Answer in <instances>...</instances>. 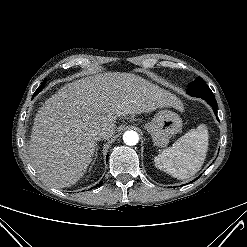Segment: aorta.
<instances>
[{
  "instance_id": "obj_1",
  "label": "aorta",
  "mask_w": 247,
  "mask_h": 247,
  "mask_svg": "<svg viewBox=\"0 0 247 247\" xmlns=\"http://www.w3.org/2000/svg\"><path fill=\"white\" fill-rule=\"evenodd\" d=\"M123 141L126 145L134 146L138 143L139 136H138L137 132H135V131H132V130L126 131L123 134Z\"/></svg>"
}]
</instances>
